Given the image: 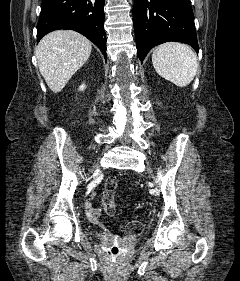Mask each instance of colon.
<instances>
[{
	"mask_svg": "<svg viewBox=\"0 0 240 281\" xmlns=\"http://www.w3.org/2000/svg\"><path fill=\"white\" fill-rule=\"evenodd\" d=\"M117 189V180L113 177L108 178L104 184V190L102 195V203L105 212L108 216H114L116 213L115 205V191ZM143 225L138 220H132L127 223L126 231L131 235H138L142 232ZM112 255L116 256L118 254L117 248H113L111 251Z\"/></svg>",
	"mask_w": 240,
	"mask_h": 281,
	"instance_id": "obj_1",
	"label": "colon"
}]
</instances>
